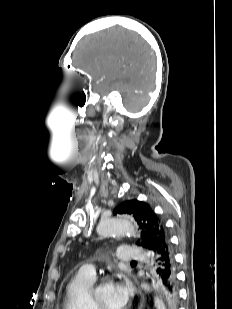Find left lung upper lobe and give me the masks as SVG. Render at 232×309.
I'll return each mask as SVG.
<instances>
[{
  "instance_id": "obj_1",
  "label": "left lung upper lobe",
  "mask_w": 232,
  "mask_h": 309,
  "mask_svg": "<svg viewBox=\"0 0 232 309\" xmlns=\"http://www.w3.org/2000/svg\"><path fill=\"white\" fill-rule=\"evenodd\" d=\"M117 213L129 214L136 220L141 231V238L136 244L146 249L151 255L161 234L168 237L163 222L147 203L135 199L125 201L114 209L113 214ZM165 303L167 304L166 300Z\"/></svg>"
}]
</instances>
